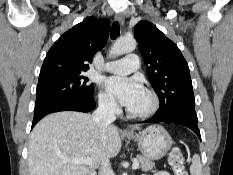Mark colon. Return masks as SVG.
I'll use <instances>...</instances> for the list:
<instances>
[{
    "label": "colon",
    "instance_id": "5ec220e1",
    "mask_svg": "<svg viewBox=\"0 0 233 175\" xmlns=\"http://www.w3.org/2000/svg\"><path fill=\"white\" fill-rule=\"evenodd\" d=\"M169 164L175 175H188L185 169V158L182 150L175 147L169 154Z\"/></svg>",
    "mask_w": 233,
    "mask_h": 175
}]
</instances>
